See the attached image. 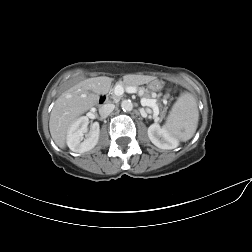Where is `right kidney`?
Here are the masks:
<instances>
[{"instance_id":"ca27d5eb","label":"right kidney","mask_w":252,"mask_h":252,"mask_svg":"<svg viewBox=\"0 0 252 252\" xmlns=\"http://www.w3.org/2000/svg\"><path fill=\"white\" fill-rule=\"evenodd\" d=\"M89 120L83 116L74 121L68 129L67 145L71 151L83 153L95 147L99 140L100 126L98 122L91 125L88 132ZM88 132V133H87ZM84 134L86 138H84Z\"/></svg>"}]
</instances>
